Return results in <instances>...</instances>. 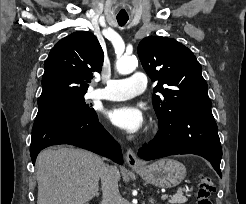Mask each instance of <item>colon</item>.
I'll list each match as a JSON object with an SVG mask.
<instances>
[{
    "instance_id": "colon-1",
    "label": "colon",
    "mask_w": 246,
    "mask_h": 204,
    "mask_svg": "<svg viewBox=\"0 0 246 204\" xmlns=\"http://www.w3.org/2000/svg\"><path fill=\"white\" fill-rule=\"evenodd\" d=\"M216 187L211 177L202 176L197 189V204H212L211 196L215 192Z\"/></svg>"
}]
</instances>
